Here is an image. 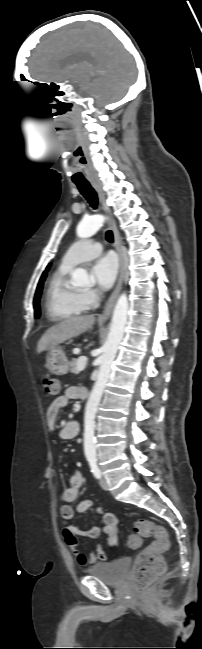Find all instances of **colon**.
<instances>
[{"label": "colon", "mask_w": 202, "mask_h": 649, "mask_svg": "<svg viewBox=\"0 0 202 649\" xmlns=\"http://www.w3.org/2000/svg\"><path fill=\"white\" fill-rule=\"evenodd\" d=\"M42 388L45 394L56 396L61 390V384L57 378L46 376L42 380ZM109 521H112V518H109ZM140 537L153 538V542L136 556L133 565L134 585L142 591L163 572L162 554L169 547V538L163 526L145 519L135 523L134 534L130 536L131 543L136 544Z\"/></svg>", "instance_id": "colon-1"}]
</instances>
